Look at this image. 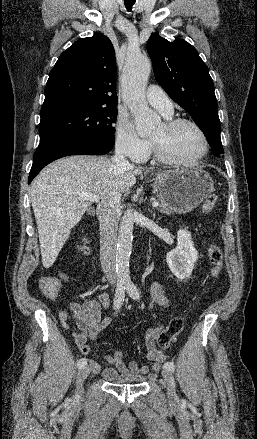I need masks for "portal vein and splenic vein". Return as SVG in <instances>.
I'll return each mask as SVG.
<instances>
[{
  "instance_id": "obj_1",
  "label": "portal vein and splenic vein",
  "mask_w": 257,
  "mask_h": 439,
  "mask_svg": "<svg viewBox=\"0 0 257 439\" xmlns=\"http://www.w3.org/2000/svg\"><path fill=\"white\" fill-rule=\"evenodd\" d=\"M78 199L81 201H90V202H98L99 198L97 195L94 194H79L78 195ZM159 206V202L158 201H153L152 202V207H158Z\"/></svg>"
}]
</instances>
